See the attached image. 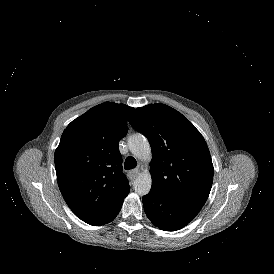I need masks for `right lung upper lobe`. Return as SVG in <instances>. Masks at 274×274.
Wrapping results in <instances>:
<instances>
[{"instance_id": "cb5924a9", "label": "right lung upper lobe", "mask_w": 274, "mask_h": 274, "mask_svg": "<svg viewBox=\"0 0 274 274\" xmlns=\"http://www.w3.org/2000/svg\"><path fill=\"white\" fill-rule=\"evenodd\" d=\"M133 110L114 102L91 108L67 126L55 151L59 189L73 213L90 225L111 222L129 193L118 144Z\"/></svg>"}]
</instances>
